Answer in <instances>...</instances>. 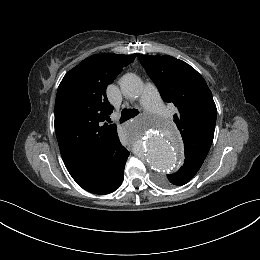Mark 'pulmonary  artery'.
I'll use <instances>...</instances> for the list:
<instances>
[{
	"instance_id": "e3ab8cb5",
	"label": "pulmonary artery",
	"mask_w": 260,
	"mask_h": 260,
	"mask_svg": "<svg viewBox=\"0 0 260 260\" xmlns=\"http://www.w3.org/2000/svg\"><path fill=\"white\" fill-rule=\"evenodd\" d=\"M141 103L144 108L151 113L162 116L167 115V111L157 94L156 88L152 84L145 85L141 95Z\"/></svg>"
}]
</instances>
